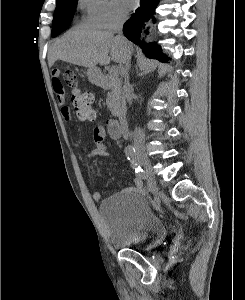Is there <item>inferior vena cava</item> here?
Here are the masks:
<instances>
[{
    "instance_id": "obj_1",
    "label": "inferior vena cava",
    "mask_w": 245,
    "mask_h": 300,
    "mask_svg": "<svg viewBox=\"0 0 245 300\" xmlns=\"http://www.w3.org/2000/svg\"><path fill=\"white\" fill-rule=\"evenodd\" d=\"M127 16L125 14H119L116 16L112 26V32L118 34V38L125 42V38L122 35L123 24L126 21ZM129 69H130V59L125 61V68L123 70L125 75V90L126 95L128 96L130 103L132 100L131 88L129 85ZM134 146L137 151H142L144 149V135L140 128H136L134 131Z\"/></svg>"
}]
</instances>
